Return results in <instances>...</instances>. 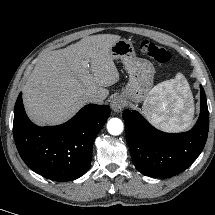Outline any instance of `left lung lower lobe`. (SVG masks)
Listing matches in <instances>:
<instances>
[{
	"label": "left lung lower lobe",
	"instance_id": "0a47b994",
	"mask_svg": "<svg viewBox=\"0 0 215 215\" xmlns=\"http://www.w3.org/2000/svg\"><path fill=\"white\" fill-rule=\"evenodd\" d=\"M201 110L188 132L165 133L150 125L138 112L125 110L126 139L135 167L144 175L172 177L186 170L202 152L209 129V112L202 86Z\"/></svg>",
	"mask_w": 215,
	"mask_h": 215
}]
</instances>
